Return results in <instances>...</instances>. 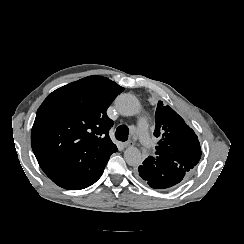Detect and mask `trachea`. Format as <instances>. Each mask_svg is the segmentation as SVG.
Masks as SVG:
<instances>
[{
    "instance_id": "1",
    "label": "trachea",
    "mask_w": 244,
    "mask_h": 244,
    "mask_svg": "<svg viewBox=\"0 0 244 244\" xmlns=\"http://www.w3.org/2000/svg\"><path fill=\"white\" fill-rule=\"evenodd\" d=\"M129 130L126 125H120L115 132V137L119 141H127L128 140Z\"/></svg>"
}]
</instances>
